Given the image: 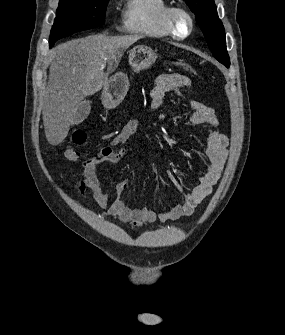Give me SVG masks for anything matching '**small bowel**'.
Returning a JSON list of instances; mask_svg holds the SVG:
<instances>
[{
  "instance_id": "obj_1",
  "label": "small bowel",
  "mask_w": 285,
  "mask_h": 335,
  "mask_svg": "<svg viewBox=\"0 0 285 335\" xmlns=\"http://www.w3.org/2000/svg\"><path fill=\"white\" fill-rule=\"evenodd\" d=\"M190 85V80L182 74L173 73L159 76L150 92L152 109H158L168 94L176 93L185 97L192 108L189 115L191 124L217 128L219 122L214 110L206 104L184 95V90L190 88ZM139 126L138 120L128 121L112 139L109 146L102 148L97 156L84 162L83 176L78 184V190L81 194H84L86 189L92 191L99 205L104 208L102 216L113 217L122 222H130L135 227H140L148 222L173 221L193 214L195 208L212 192L213 187L223 173L228 155L227 136L218 130H212L209 133L206 146L208 165L194 188L185 191L172 178V182L181 193L184 203L172 202L168 207H163L160 211H154L145 206L130 208L121 200L120 196L128 189L127 181H120L116 184V197L110 200L98 176V167L101 163H115L125 156L126 150L117 147L125 144L138 131Z\"/></svg>"
}]
</instances>
